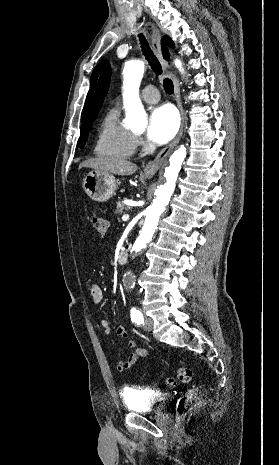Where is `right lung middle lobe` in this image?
Segmentation results:
<instances>
[{"mask_svg": "<svg viewBox=\"0 0 279 465\" xmlns=\"http://www.w3.org/2000/svg\"><path fill=\"white\" fill-rule=\"evenodd\" d=\"M91 126H92V125H91ZM91 126H89L88 128H86L85 130H80V131H81V134H80V137H79V140H78V147H79V148H83V147H84L85 142L87 141L88 133H89V131H90Z\"/></svg>", "mask_w": 279, "mask_h": 465, "instance_id": "right-lung-middle-lobe-1", "label": "right lung middle lobe"}]
</instances>
